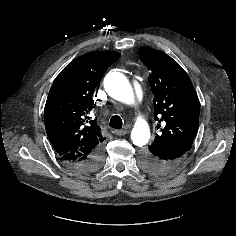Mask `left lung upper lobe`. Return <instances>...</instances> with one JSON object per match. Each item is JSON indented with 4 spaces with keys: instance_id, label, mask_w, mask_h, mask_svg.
<instances>
[{
    "instance_id": "5c2ea615",
    "label": "left lung upper lobe",
    "mask_w": 236,
    "mask_h": 236,
    "mask_svg": "<svg viewBox=\"0 0 236 236\" xmlns=\"http://www.w3.org/2000/svg\"><path fill=\"white\" fill-rule=\"evenodd\" d=\"M140 59L151 70L149 83L160 130L147 153L153 154L152 149L188 151L199 122V101L192 83L182 67L163 51L141 47Z\"/></svg>"
}]
</instances>
